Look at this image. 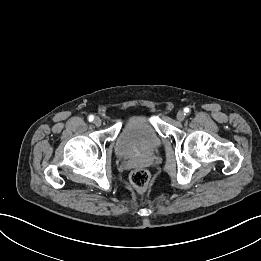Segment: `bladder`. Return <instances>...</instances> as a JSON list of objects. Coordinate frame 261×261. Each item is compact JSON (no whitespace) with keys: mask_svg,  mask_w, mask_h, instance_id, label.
I'll use <instances>...</instances> for the list:
<instances>
[{"mask_svg":"<svg viewBox=\"0 0 261 261\" xmlns=\"http://www.w3.org/2000/svg\"><path fill=\"white\" fill-rule=\"evenodd\" d=\"M162 145V139L146 114L131 117L119 133L115 153L127 157L136 153L153 152Z\"/></svg>","mask_w":261,"mask_h":261,"instance_id":"31cf9c89","label":"bladder"}]
</instances>
